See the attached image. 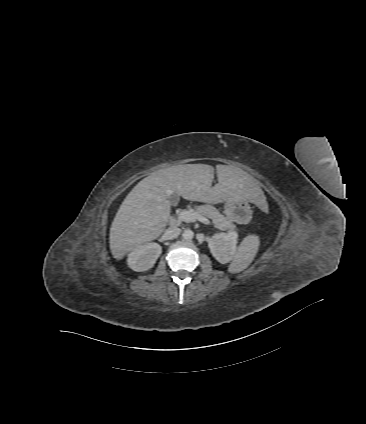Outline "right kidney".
<instances>
[{
	"label": "right kidney",
	"mask_w": 366,
	"mask_h": 424,
	"mask_svg": "<svg viewBox=\"0 0 366 424\" xmlns=\"http://www.w3.org/2000/svg\"><path fill=\"white\" fill-rule=\"evenodd\" d=\"M162 253V247L157 243H146L130 252L128 266L137 272L146 271L154 266Z\"/></svg>",
	"instance_id": "ca27d5eb"
}]
</instances>
